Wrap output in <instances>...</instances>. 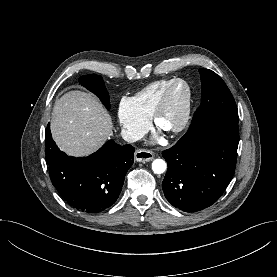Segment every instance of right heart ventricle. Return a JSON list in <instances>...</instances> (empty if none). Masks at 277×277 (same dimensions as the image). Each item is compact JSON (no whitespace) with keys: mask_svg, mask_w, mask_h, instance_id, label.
Returning a JSON list of instances; mask_svg holds the SVG:
<instances>
[{"mask_svg":"<svg viewBox=\"0 0 277 277\" xmlns=\"http://www.w3.org/2000/svg\"><path fill=\"white\" fill-rule=\"evenodd\" d=\"M173 79H161L148 84L137 92L131 99L136 110L145 118L149 119L159 101L166 86Z\"/></svg>","mask_w":277,"mask_h":277,"instance_id":"e07e8e85","label":"right heart ventricle"}]
</instances>
